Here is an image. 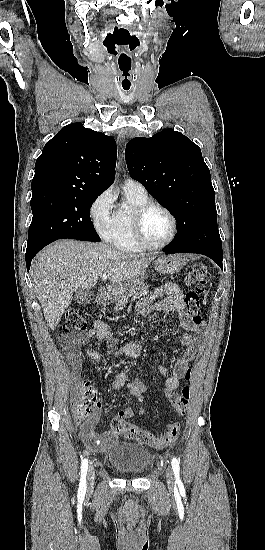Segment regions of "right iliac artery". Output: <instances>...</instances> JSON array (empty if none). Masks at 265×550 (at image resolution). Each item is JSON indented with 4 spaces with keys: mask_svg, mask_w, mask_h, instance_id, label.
Returning <instances> with one entry per match:
<instances>
[{
    "mask_svg": "<svg viewBox=\"0 0 265 550\" xmlns=\"http://www.w3.org/2000/svg\"><path fill=\"white\" fill-rule=\"evenodd\" d=\"M88 469V460L84 459L81 463V477H80V484L78 489L79 495H84L86 492V474Z\"/></svg>",
    "mask_w": 265,
    "mask_h": 550,
    "instance_id": "obj_1",
    "label": "right iliac artery"
}]
</instances>
